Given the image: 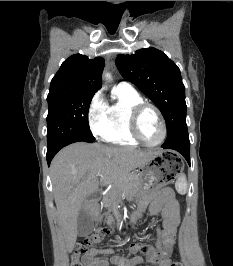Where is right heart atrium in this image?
I'll return each instance as SVG.
<instances>
[{"label":"right heart atrium","instance_id":"d8ad5b80","mask_svg":"<svg viewBox=\"0 0 233 266\" xmlns=\"http://www.w3.org/2000/svg\"><path fill=\"white\" fill-rule=\"evenodd\" d=\"M106 112L107 104L99 91L95 93L88 107L89 127L97 138H103L108 130Z\"/></svg>","mask_w":233,"mask_h":266}]
</instances>
